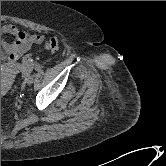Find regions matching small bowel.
Masks as SVG:
<instances>
[{
  "instance_id": "c3829d8e",
  "label": "small bowel",
  "mask_w": 166,
  "mask_h": 166,
  "mask_svg": "<svg viewBox=\"0 0 166 166\" xmlns=\"http://www.w3.org/2000/svg\"><path fill=\"white\" fill-rule=\"evenodd\" d=\"M4 35H9L13 38V41L10 43L4 42L5 51L11 60L12 70L18 68L16 61L20 57H22L33 45L42 43L45 38L44 34H29L12 24L1 26V37Z\"/></svg>"
}]
</instances>
